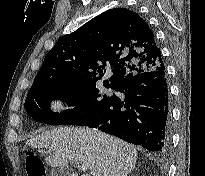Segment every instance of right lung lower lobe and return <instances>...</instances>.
I'll return each mask as SVG.
<instances>
[{
	"mask_svg": "<svg viewBox=\"0 0 205 176\" xmlns=\"http://www.w3.org/2000/svg\"><path fill=\"white\" fill-rule=\"evenodd\" d=\"M116 90L125 99L114 95L86 126L150 151L168 152L171 117L165 65L125 80Z\"/></svg>",
	"mask_w": 205,
	"mask_h": 176,
	"instance_id": "98d812e1",
	"label": "right lung lower lobe"
}]
</instances>
